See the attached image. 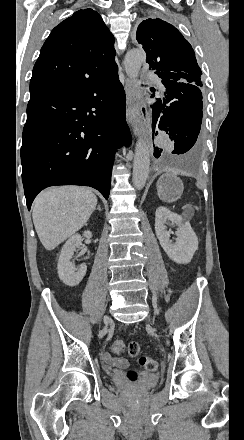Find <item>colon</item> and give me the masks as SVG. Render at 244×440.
<instances>
[{"instance_id":"obj_1","label":"colon","mask_w":244,"mask_h":440,"mask_svg":"<svg viewBox=\"0 0 244 440\" xmlns=\"http://www.w3.org/2000/svg\"><path fill=\"white\" fill-rule=\"evenodd\" d=\"M126 350L130 357H138L141 353V345L139 343H129L126 345L122 339H116L110 345V352L113 355H121ZM139 364L151 373H154L158 368L156 359L147 355L140 357ZM130 378L134 379L135 377L131 376Z\"/></svg>"}]
</instances>
